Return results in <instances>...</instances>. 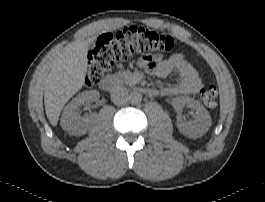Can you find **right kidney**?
Listing matches in <instances>:
<instances>
[{
	"label": "right kidney",
	"mask_w": 265,
	"mask_h": 202,
	"mask_svg": "<svg viewBox=\"0 0 265 202\" xmlns=\"http://www.w3.org/2000/svg\"><path fill=\"white\" fill-rule=\"evenodd\" d=\"M98 98L99 92L96 90L82 92L73 98L72 101L66 105L61 116V126L63 130L74 136L86 134L95 115L90 114L85 117H80L78 108L85 102H93Z\"/></svg>",
	"instance_id": "ca27d5eb"
}]
</instances>
